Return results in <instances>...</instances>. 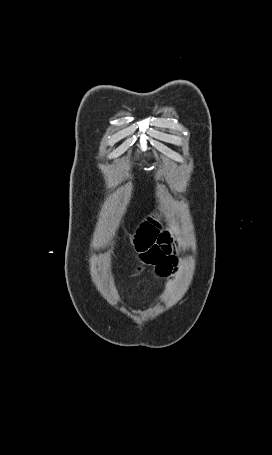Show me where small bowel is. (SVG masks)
I'll list each match as a JSON object with an SVG mask.
<instances>
[{
    "label": "small bowel",
    "mask_w": 272,
    "mask_h": 455,
    "mask_svg": "<svg viewBox=\"0 0 272 455\" xmlns=\"http://www.w3.org/2000/svg\"><path fill=\"white\" fill-rule=\"evenodd\" d=\"M135 240L142 264L153 266L159 277L170 275L175 263L170 237L153 221H146L139 227Z\"/></svg>",
    "instance_id": "small-bowel-1"
}]
</instances>
